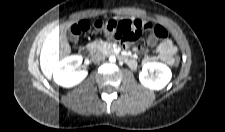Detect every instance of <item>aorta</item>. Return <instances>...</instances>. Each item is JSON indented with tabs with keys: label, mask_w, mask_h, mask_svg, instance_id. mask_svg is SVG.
<instances>
[{
	"label": "aorta",
	"mask_w": 225,
	"mask_h": 132,
	"mask_svg": "<svg viewBox=\"0 0 225 132\" xmlns=\"http://www.w3.org/2000/svg\"><path fill=\"white\" fill-rule=\"evenodd\" d=\"M109 60H110L111 63H114L116 61L114 56H111Z\"/></svg>",
	"instance_id": "obj_1"
}]
</instances>
